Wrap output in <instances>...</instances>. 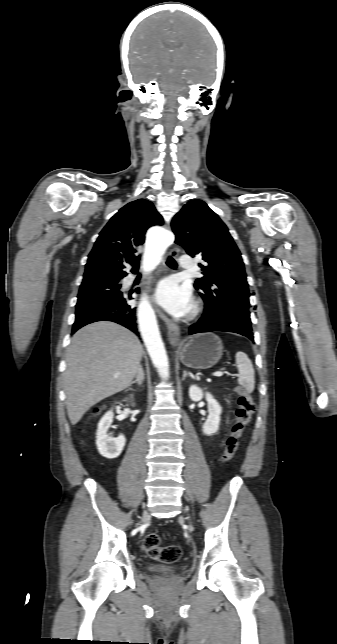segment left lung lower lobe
Returning <instances> with one entry per match:
<instances>
[{
    "label": "left lung lower lobe",
    "mask_w": 337,
    "mask_h": 644,
    "mask_svg": "<svg viewBox=\"0 0 337 644\" xmlns=\"http://www.w3.org/2000/svg\"><path fill=\"white\" fill-rule=\"evenodd\" d=\"M222 331L243 335L254 341L252 328L222 314L203 313L200 320L188 328V334Z\"/></svg>",
    "instance_id": "1"
}]
</instances>
